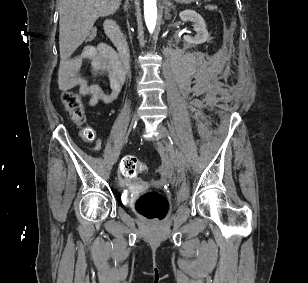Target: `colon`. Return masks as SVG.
Masks as SVG:
<instances>
[{
  "label": "colon",
  "instance_id": "1",
  "mask_svg": "<svg viewBox=\"0 0 308 283\" xmlns=\"http://www.w3.org/2000/svg\"><path fill=\"white\" fill-rule=\"evenodd\" d=\"M96 30L92 29L88 39L93 40L96 37ZM62 103L66 110L71 114L77 124L84 123V109L80 96L74 91H64L61 95ZM81 136L85 140H91L94 132L89 128H84ZM122 174L127 178H134L145 171L144 164L135 156H125L120 163ZM137 210L146 218L163 219L168 211L167 199L160 193L149 191L139 197L136 203Z\"/></svg>",
  "mask_w": 308,
  "mask_h": 283
}]
</instances>
